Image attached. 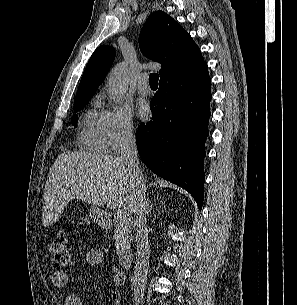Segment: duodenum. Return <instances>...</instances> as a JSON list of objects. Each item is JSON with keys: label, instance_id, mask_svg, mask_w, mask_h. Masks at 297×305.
Segmentation results:
<instances>
[{"label": "duodenum", "instance_id": "1", "mask_svg": "<svg viewBox=\"0 0 297 305\" xmlns=\"http://www.w3.org/2000/svg\"><path fill=\"white\" fill-rule=\"evenodd\" d=\"M100 223L104 227H110V221L106 217H102L100 219ZM134 255L130 249H128L126 246L122 248L118 260L122 267L129 268L133 262Z\"/></svg>", "mask_w": 297, "mask_h": 305}]
</instances>
